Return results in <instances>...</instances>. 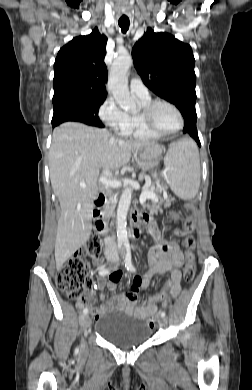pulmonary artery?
Here are the masks:
<instances>
[{
    "label": "pulmonary artery",
    "instance_id": "1",
    "mask_svg": "<svg viewBox=\"0 0 252 390\" xmlns=\"http://www.w3.org/2000/svg\"><path fill=\"white\" fill-rule=\"evenodd\" d=\"M130 91L137 98L145 99L150 96L147 87L139 78H132L130 80Z\"/></svg>",
    "mask_w": 252,
    "mask_h": 390
}]
</instances>
